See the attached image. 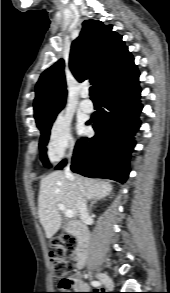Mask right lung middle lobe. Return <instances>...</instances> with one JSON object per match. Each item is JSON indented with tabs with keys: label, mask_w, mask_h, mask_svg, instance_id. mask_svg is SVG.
Instances as JSON below:
<instances>
[{
	"label": "right lung middle lobe",
	"mask_w": 170,
	"mask_h": 293,
	"mask_svg": "<svg viewBox=\"0 0 170 293\" xmlns=\"http://www.w3.org/2000/svg\"><path fill=\"white\" fill-rule=\"evenodd\" d=\"M52 123L53 122L40 128L41 138H40L39 148H40L41 160H42L45 167H51V165L48 162L47 156H46V147L45 146L47 145V142L49 139L50 129H51Z\"/></svg>",
	"instance_id": "obj_1"
}]
</instances>
